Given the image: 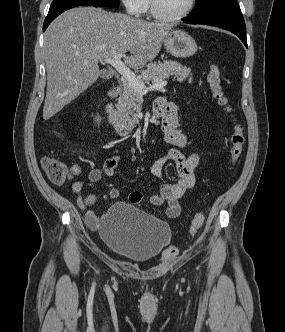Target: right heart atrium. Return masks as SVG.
I'll list each match as a JSON object with an SVG mask.
<instances>
[{
    "instance_id": "obj_1",
    "label": "right heart atrium",
    "mask_w": 285,
    "mask_h": 332,
    "mask_svg": "<svg viewBox=\"0 0 285 332\" xmlns=\"http://www.w3.org/2000/svg\"><path fill=\"white\" fill-rule=\"evenodd\" d=\"M126 12L137 16L144 12L147 0H121Z\"/></svg>"
}]
</instances>
